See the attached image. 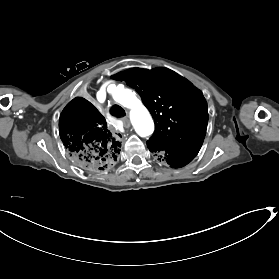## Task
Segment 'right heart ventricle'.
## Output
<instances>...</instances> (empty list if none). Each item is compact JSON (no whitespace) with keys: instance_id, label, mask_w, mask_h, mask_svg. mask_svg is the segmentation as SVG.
Instances as JSON below:
<instances>
[{"instance_id":"1","label":"right heart ventricle","mask_w":279,"mask_h":279,"mask_svg":"<svg viewBox=\"0 0 279 279\" xmlns=\"http://www.w3.org/2000/svg\"><path fill=\"white\" fill-rule=\"evenodd\" d=\"M101 56L98 54L93 56H88L82 58V63L86 66H94L92 72L96 73L100 69H102V65L100 64ZM110 92L114 95L115 103L118 104L123 109H128L131 106V102L136 95H138L135 91L124 87L123 85H108ZM104 91V86L99 88V92Z\"/></svg>"}]
</instances>
